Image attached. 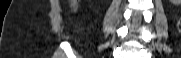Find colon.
Masks as SVG:
<instances>
[{"mask_svg":"<svg viewBox=\"0 0 181 58\" xmlns=\"http://www.w3.org/2000/svg\"><path fill=\"white\" fill-rule=\"evenodd\" d=\"M72 5L75 6V2H72ZM178 27H179V31H180V33H181V19H180V21H179V26H178Z\"/></svg>","mask_w":181,"mask_h":58,"instance_id":"colon-1","label":"colon"}]
</instances>
